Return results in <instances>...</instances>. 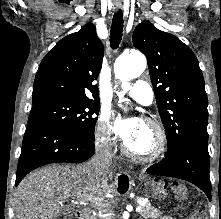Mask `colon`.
<instances>
[{
	"mask_svg": "<svg viewBox=\"0 0 221 219\" xmlns=\"http://www.w3.org/2000/svg\"><path fill=\"white\" fill-rule=\"evenodd\" d=\"M176 191H177V197L182 200L185 198V195H184V188L182 186H177L176 187ZM187 219H207L205 213L201 210H194L192 211Z\"/></svg>",
	"mask_w": 221,
	"mask_h": 219,
	"instance_id": "colon-1",
	"label": "colon"
}]
</instances>
